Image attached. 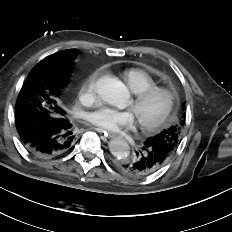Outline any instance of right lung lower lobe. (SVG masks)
<instances>
[{"label":"right lung lower lobe","instance_id":"98d812e1","mask_svg":"<svg viewBox=\"0 0 232 232\" xmlns=\"http://www.w3.org/2000/svg\"><path fill=\"white\" fill-rule=\"evenodd\" d=\"M24 113H15V124L25 148L37 157H54L68 151L73 144L72 124L67 118L49 125L36 120L38 105L29 103Z\"/></svg>","mask_w":232,"mask_h":232}]
</instances>
